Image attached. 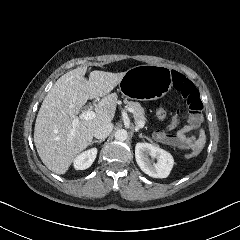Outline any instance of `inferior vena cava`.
I'll return each instance as SVG.
<instances>
[{"label":"inferior vena cava","instance_id":"obj_1","mask_svg":"<svg viewBox=\"0 0 240 240\" xmlns=\"http://www.w3.org/2000/svg\"><path fill=\"white\" fill-rule=\"evenodd\" d=\"M113 124L112 123H106L101 126H99L94 131V136L98 139H105L113 130Z\"/></svg>","mask_w":240,"mask_h":240}]
</instances>
